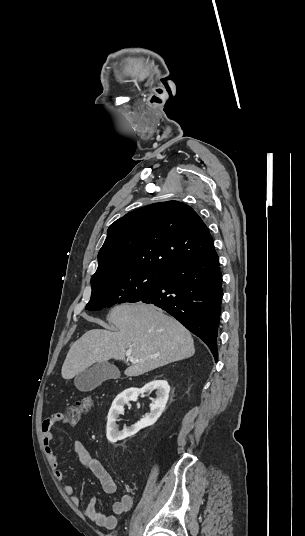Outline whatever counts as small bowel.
I'll return each instance as SVG.
<instances>
[{"label": "small bowel", "instance_id": "1", "mask_svg": "<svg viewBox=\"0 0 305 536\" xmlns=\"http://www.w3.org/2000/svg\"><path fill=\"white\" fill-rule=\"evenodd\" d=\"M64 419L62 411H46L44 413V420L42 422V444L46 453L47 459L51 468L54 471V475L57 481L64 480V474L59 469V460L57 454L52 449L53 434L52 428L55 426V422L61 425ZM63 426H68V421H63ZM73 451L77 454L83 467L91 472L100 482L103 490L108 494H113L117 491V483L98 460L93 458L86 446L81 441H76L73 444ZM64 492L70 497L71 502L75 506L80 505V497L74 494V486L72 484L64 485ZM133 505V499L130 495H122L119 500L115 501L112 505V514H104L98 511L96 506V499L91 498L87 506L84 509L86 517H88L97 526L113 530L117 526V515H123L127 513Z\"/></svg>", "mask_w": 305, "mask_h": 536}]
</instances>
